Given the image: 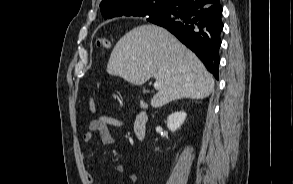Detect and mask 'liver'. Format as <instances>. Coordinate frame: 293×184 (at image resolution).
I'll use <instances>...</instances> for the list:
<instances>
[{
    "label": "liver",
    "mask_w": 293,
    "mask_h": 184,
    "mask_svg": "<svg viewBox=\"0 0 293 184\" xmlns=\"http://www.w3.org/2000/svg\"><path fill=\"white\" fill-rule=\"evenodd\" d=\"M107 73L135 85L154 77L160 82L151 100L154 108L181 98L203 99L214 90V77L197 56L153 24L133 28L116 43Z\"/></svg>",
    "instance_id": "liver-1"
}]
</instances>
